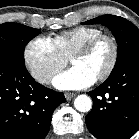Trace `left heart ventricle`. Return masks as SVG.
Instances as JSON below:
<instances>
[{
  "label": "left heart ventricle",
  "mask_w": 139,
  "mask_h": 139,
  "mask_svg": "<svg viewBox=\"0 0 139 139\" xmlns=\"http://www.w3.org/2000/svg\"><path fill=\"white\" fill-rule=\"evenodd\" d=\"M111 52L109 42L102 41L91 52L75 57L72 64L83 68L97 78L107 67Z\"/></svg>",
  "instance_id": "obj_1"
}]
</instances>
